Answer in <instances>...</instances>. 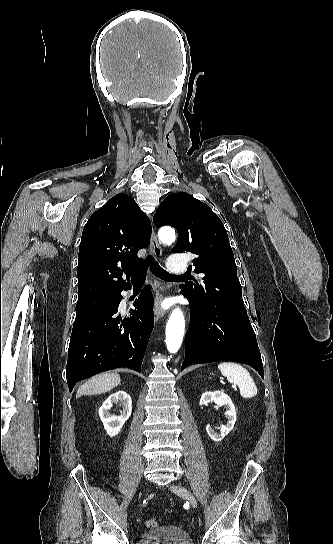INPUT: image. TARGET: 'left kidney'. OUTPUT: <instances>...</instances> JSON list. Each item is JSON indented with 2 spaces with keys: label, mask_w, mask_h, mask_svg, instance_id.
<instances>
[{
  "label": "left kidney",
  "mask_w": 333,
  "mask_h": 544,
  "mask_svg": "<svg viewBox=\"0 0 333 544\" xmlns=\"http://www.w3.org/2000/svg\"><path fill=\"white\" fill-rule=\"evenodd\" d=\"M210 402H214L217 406H225L227 409L225 416L228 421L226 425L221 426L220 433L215 432L210 425L206 426V431L210 438L215 442H219L223 440L224 437L234 428L236 422V410L231 398L223 391L203 393L200 398V405H206Z\"/></svg>",
  "instance_id": "5707ae66"
}]
</instances>
